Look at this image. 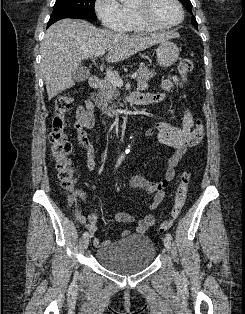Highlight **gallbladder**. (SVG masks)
Returning a JSON list of instances; mask_svg holds the SVG:
<instances>
[{"instance_id":"bac80fb5","label":"gallbladder","mask_w":245,"mask_h":314,"mask_svg":"<svg viewBox=\"0 0 245 314\" xmlns=\"http://www.w3.org/2000/svg\"><path fill=\"white\" fill-rule=\"evenodd\" d=\"M90 76V70L87 67H78L72 77L76 82L86 81Z\"/></svg>"}]
</instances>
